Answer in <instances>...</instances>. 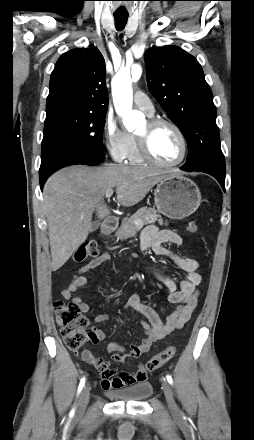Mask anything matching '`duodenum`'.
Wrapping results in <instances>:
<instances>
[{
	"instance_id": "410a0bca",
	"label": "duodenum",
	"mask_w": 254,
	"mask_h": 440,
	"mask_svg": "<svg viewBox=\"0 0 254 440\" xmlns=\"http://www.w3.org/2000/svg\"><path fill=\"white\" fill-rule=\"evenodd\" d=\"M118 225V220L115 216H109L103 223L101 232L103 235L110 234Z\"/></svg>"
}]
</instances>
